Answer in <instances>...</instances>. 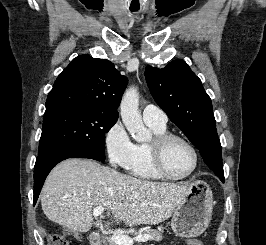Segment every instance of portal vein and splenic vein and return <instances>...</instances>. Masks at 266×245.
I'll list each match as a JSON object with an SVG mask.
<instances>
[{
    "mask_svg": "<svg viewBox=\"0 0 266 245\" xmlns=\"http://www.w3.org/2000/svg\"><path fill=\"white\" fill-rule=\"evenodd\" d=\"M105 211V207H95V209H93V217H100V215H103ZM150 239H152V237H150V235H137V237H133V239H131V237H127V235H112V237H110V241H112V243H116V245H134L135 241H137V243H146V241H150Z\"/></svg>",
    "mask_w": 266,
    "mask_h": 245,
    "instance_id": "obj_1",
    "label": "portal vein and splenic vein"
}]
</instances>
